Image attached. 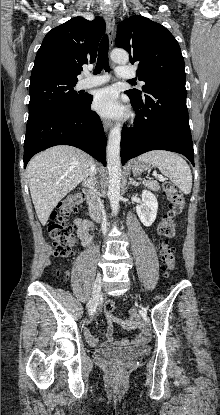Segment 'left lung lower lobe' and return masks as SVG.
Here are the masks:
<instances>
[{
	"label": "left lung lower lobe",
	"instance_id": "1",
	"mask_svg": "<svg viewBox=\"0 0 220 415\" xmlns=\"http://www.w3.org/2000/svg\"><path fill=\"white\" fill-rule=\"evenodd\" d=\"M126 93L135 107L136 119L134 127L122 129V165L151 150H168L183 154L194 166L185 82L152 84L142 97Z\"/></svg>",
	"mask_w": 220,
	"mask_h": 415
}]
</instances>
